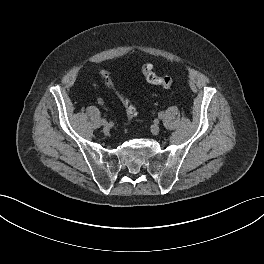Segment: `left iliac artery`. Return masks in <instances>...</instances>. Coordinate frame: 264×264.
<instances>
[{"instance_id": "obj_1", "label": "left iliac artery", "mask_w": 264, "mask_h": 264, "mask_svg": "<svg viewBox=\"0 0 264 264\" xmlns=\"http://www.w3.org/2000/svg\"><path fill=\"white\" fill-rule=\"evenodd\" d=\"M163 117H164V113H163V112H159V114H158V118H159V119H163Z\"/></svg>"}]
</instances>
